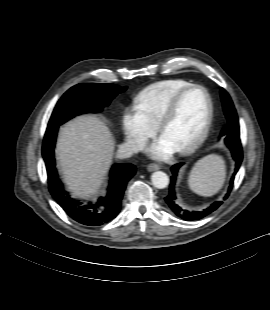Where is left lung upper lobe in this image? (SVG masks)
<instances>
[{
	"mask_svg": "<svg viewBox=\"0 0 270 310\" xmlns=\"http://www.w3.org/2000/svg\"><path fill=\"white\" fill-rule=\"evenodd\" d=\"M224 113L227 119V126L222 130L221 135L225 136V143L228 147L240 143L239 122L233 102L228 93L221 88L220 91Z\"/></svg>",
	"mask_w": 270,
	"mask_h": 310,
	"instance_id": "left-lung-upper-lobe-1",
	"label": "left lung upper lobe"
}]
</instances>
